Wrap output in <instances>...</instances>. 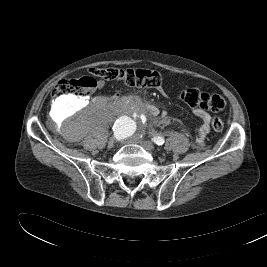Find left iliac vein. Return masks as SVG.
<instances>
[{"label":"left iliac vein","mask_w":267,"mask_h":267,"mask_svg":"<svg viewBox=\"0 0 267 267\" xmlns=\"http://www.w3.org/2000/svg\"><path fill=\"white\" fill-rule=\"evenodd\" d=\"M139 144L149 151L155 150V146L150 141L140 140Z\"/></svg>","instance_id":"obj_1"}]
</instances>
